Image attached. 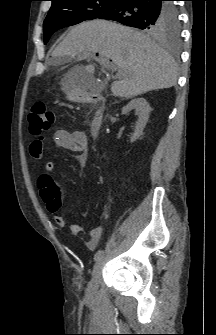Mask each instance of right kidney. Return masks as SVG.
<instances>
[{
	"label": "right kidney",
	"mask_w": 216,
	"mask_h": 335,
	"mask_svg": "<svg viewBox=\"0 0 216 335\" xmlns=\"http://www.w3.org/2000/svg\"><path fill=\"white\" fill-rule=\"evenodd\" d=\"M135 109L136 115L138 116V121L135 124V130L130 138V142L136 141L143 132V129L148 121L151 108L144 98H136L131 100L122 109L123 114L129 113L131 110Z\"/></svg>",
	"instance_id": "1"
}]
</instances>
